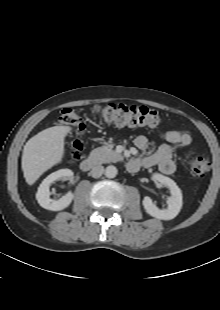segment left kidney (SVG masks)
Returning a JSON list of instances; mask_svg holds the SVG:
<instances>
[{"label":"left kidney","mask_w":220,"mask_h":310,"mask_svg":"<svg viewBox=\"0 0 220 310\" xmlns=\"http://www.w3.org/2000/svg\"><path fill=\"white\" fill-rule=\"evenodd\" d=\"M153 179L160 182L162 185L169 188L171 196L167 198V209H159L151 200L150 197L146 196L143 199V206L145 211L161 220H171L175 218L182 208V192L176 183L162 174H154Z\"/></svg>","instance_id":"left-kidney-1"}]
</instances>
